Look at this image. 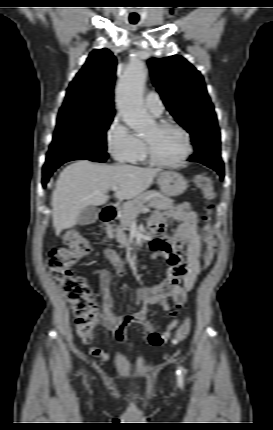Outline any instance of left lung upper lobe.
Returning a JSON list of instances; mask_svg holds the SVG:
<instances>
[{"mask_svg": "<svg viewBox=\"0 0 273 430\" xmlns=\"http://www.w3.org/2000/svg\"><path fill=\"white\" fill-rule=\"evenodd\" d=\"M153 84L176 121L192 137L195 150L220 145V132L214 106L204 79L186 59L170 56L148 62Z\"/></svg>", "mask_w": 273, "mask_h": 430, "instance_id": "5c2ea615", "label": "left lung upper lobe"}]
</instances>
